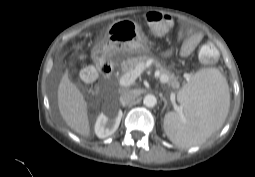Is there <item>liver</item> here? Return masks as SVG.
<instances>
[{
	"label": "liver",
	"mask_w": 255,
	"mask_h": 177,
	"mask_svg": "<svg viewBox=\"0 0 255 177\" xmlns=\"http://www.w3.org/2000/svg\"><path fill=\"white\" fill-rule=\"evenodd\" d=\"M57 99L60 114L66 124L82 136H89L87 103L77 86L70 81L67 72L60 81Z\"/></svg>",
	"instance_id": "liver-1"
}]
</instances>
